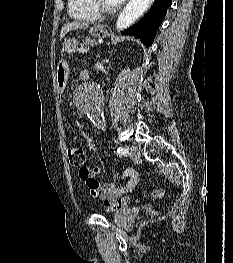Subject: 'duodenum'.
Listing matches in <instances>:
<instances>
[{
	"instance_id": "duodenum-1",
	"label": "duodenum",
	"mask_w": 233,
	"mask_h": 263,
	"mask_svg": "<svg viewBox=\"0 0 233 263\" xmlns=\"http://www.w3.org/2000/svg\"><path fill=\"white\" fill-rule=\"evenodd\" d=\"M89 71L88 70H83L80 74V78L84 81L88 80L89 79Z\"/></svg>"
}]
</instances>
